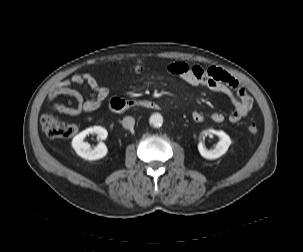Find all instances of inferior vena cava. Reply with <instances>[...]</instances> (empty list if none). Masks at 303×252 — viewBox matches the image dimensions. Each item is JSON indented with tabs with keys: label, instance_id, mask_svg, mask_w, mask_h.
Wrapping results in <instances>:
<instances>
[{
	"label": "inferior vena cava",
	"instance_id": "602c4592",
	"mask_svg": "<svg viewBox=\"0 0 303 252\" xmlns=\"http://www.w3.org/2000/svg\"><path fill=\"white\" fill-rule=\"evenodd\" d=\"M135 120L133 117L127 116L124 117L122 120V125L126 129H132L134 127Z\"/></svg>",
	"mask_w": 303,
	"mask_h": 252
}]
</instances>
